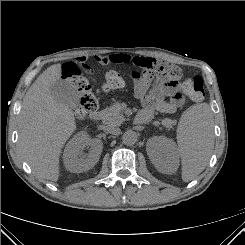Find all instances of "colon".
<instances>
[{"instance_id":"obj_1","label":"colon","mask_w":245,"mask_h":245,"mask_svg":"<svg viewBox=\"0 0 245 245\" xmlns=\"http://www.w3.org/2000/svg\"><path fill=\"white\" fill-rule=\"evenodd\" d=\"M81 66H85L81 59L78 62H69L62 69V78L71 84L79 94V104L75 109L77 117L82 118L95 112L98 108L96 97L91 91L88 79L82 74ZM89 72L92 69L86 66ZM154 74L162 78L179 83L182 72L179 67L155 61ZM124 86V79L119 72L109 70L105 73L103 89L106 91L116 90ZM182 92L192 101L199 102L204 98V84L200 76L183 80L180 84Z\"/></svg>"}]
</instances>
